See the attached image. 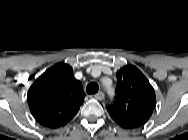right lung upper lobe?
<instances>
[{
  "label": "right lung upper lobe",
  "instance_id": "cb5924a9",
  "mask_svg": "<svg viewBox=\"0 0 188 140\" xmlns=\"http://www.w3.org/2000/svg\"><path fill=\"white\" fill-rule=\"evenodd\" d=\"M32 115L41 125L58 128L67 124L84 101L81 83L68 64L58 63L46 70L27 95Z\"/></svg>",
  "mask_w": 188,
  "mask_h": 140
}]
</instances>
